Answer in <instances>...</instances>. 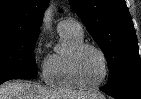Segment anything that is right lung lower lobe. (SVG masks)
Listing matches in <instances>:
<instances>
[{
	"instance_id": "obj_1",
	"label": "right lung lower lobe",
	"mask_w": 141,
	"mask_h": 99,
	"mask_svg": "<svg viewBox=\"0 0 141 99\" xmlns=\"http://www.w3.org/2000/svg\"><path fill=\"white\" fill-rule=\"evenodd\" d=\"M19 77H27V76L26 75H16V76L5 77V78L0 79V84H2L5 81H8L14 78H19Z\"/></svg>"
}]
</instances>
